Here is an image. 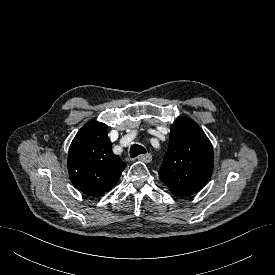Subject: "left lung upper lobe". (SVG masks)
<instances>
[{
  "mask_svg": "<svg viewBox=\"0 0 275 275\" xmlns=\"http://www.w3.org/2000/svg\"><path fill=\"white\" fill-rule=\"evenodd\" d=\"M214 166L212 145L192 119L180 116L170 129V140L159 176L176 196L198 192Z\"/></svg>",
  "mask_w": 275,
  "mask_h": 275,
  "instance_id": "left-lung-upper-lobe-1",
  "label": "left lung upper lobe"
}]
</instances>
